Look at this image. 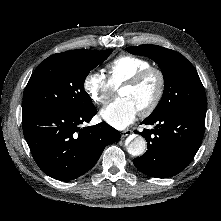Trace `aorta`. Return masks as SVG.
<instances>
[{
	"label": "aorta",
	"instance_id": "762f6f07",
	"mask_svg": "<svg viewBox=\"0 0 221 221\" xmlns=\"http://www.w3.org/2000/svg\"><path fill=\"white\" fill-rule=\"evenodd\" d=\"M146 148H147L146 140L142 136L137 135L127 146V151L129 154L133 156H141L145 153Z\"/></svg>",
	"mask_w": 221,
	"mask_h": 221
}]
</instances>
